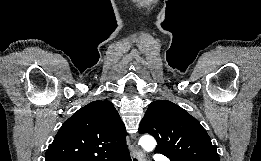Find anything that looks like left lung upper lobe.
<instances>
[{"instance_id":"left-lung-upper-lobe-1","label":"left lung upper lobe","mask_w":261,"mask_h":161,"mask_svg":"<svg viewBox=\"0 0 261 161\" xmlns=\"http://www.w3.org/2000/svg\"><path fill=\"white\" fill-rule=\"evenodd\" d=\"M139 133L154 136L158 143L155 152L170 161H220L216 146L199 121L171 101H153Z\"/></svg>"}]
</instances>
